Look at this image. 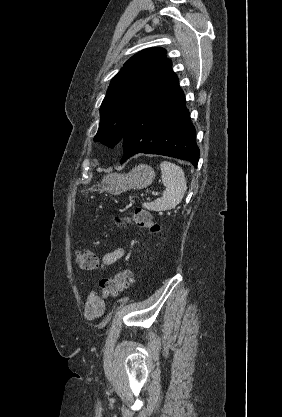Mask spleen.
I'll return each instance as SVG.
<instances>
[{
    "mask_svg": "<svg viewBox=\"0 0 282 417\" xmlns=\"http://www.w3.org/2000/svg\"><path fill=\"white\" fill-rule=\"evenodd\" d=\"M161 178L165 186L163 196L156 198L153 202H144L143 206L149 211H171L179 204L186 192V178L184 170L174 162L163 160L160 164Z\"/></svg>",
    "mask_w": 282,
    "mask_h": 417,
    "instance_id": "3e777b00",
    "label": "spleen"
}]
</instances>
